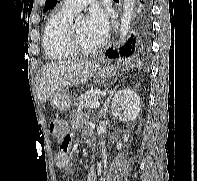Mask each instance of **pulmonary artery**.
Masks as SVG:
<instances>
[{"label":"pulmonary artery","instance_id":"pulmonary-artery-1","mask_svg":"<svg viewBox=\"0 0 197 181\" xmlns=\"http://www.w3.org/2000/svg\"><path fill=\"white\" fill-rule=\"evenodd\" d=\"M93 0H64L63 6L69 10L77 12Z\"/></svg>","mask_w":197,"mask_h":181}]
</instances>
